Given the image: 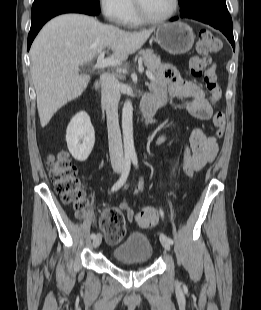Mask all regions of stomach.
<instances>
[{
	"label": "stomach",
	"mask_w": 261,
	"mask_h": 310,
	"mask_svg": "<svg viewBox=\"0 0 261 310\" xmlns=\"http://www.w3.org/2000/svg\"><path fill=\"white\" fill-rule=\"evenodd\" d=\"M194 39L192 28L179 21L161 25L156 30V42L173 55L187 53L192 48Z\"/></svg>",
	"instance_id": "stomach-1"
}]
</instances>
